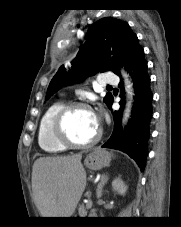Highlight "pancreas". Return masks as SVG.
Masks as SVG:
<instances>
[{"mask_svg": "<svg viewBox=\"0 0 181 227\" xmlns=\"http://www.w3.org/2000/svg\"><path fill=\"white\" fill-rule=\"evenodd\" d=\"M78 212H79L80 217H86L87 216V206H85L84 204L80 205Z\"/></svg>", "mask_w": 181, "mask_h": 227, "instance_id": "pancreas-1", "label": "pancreas"}]
</instances>
